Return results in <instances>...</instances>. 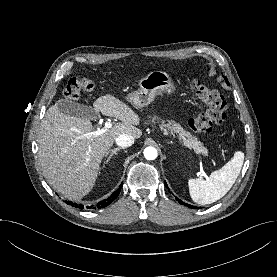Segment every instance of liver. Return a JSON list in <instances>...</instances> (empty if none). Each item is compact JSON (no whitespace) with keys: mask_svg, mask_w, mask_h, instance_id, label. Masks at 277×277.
<instances>
[{"mask_svg":"<svg viewBox=\"0 0 277 277\" xmlns=\"http://www.w3.org/2000/svg\"><path fill=\"white\" fill-rule=\"evenodd\" d=\"M94 110L121 122L102 134L86 138L92 131L89 119L69 116L51 106L38 131V157L48 183L68 199L78 200L94 187L100 165L108 149L119 135L128 134L138 139L140 116L123 100L110 93L100 96Z\"/></svg>","mask_w":277,"mask_h":277,"instance_id":"6515ba94","label":"liver"}]
</instances>
